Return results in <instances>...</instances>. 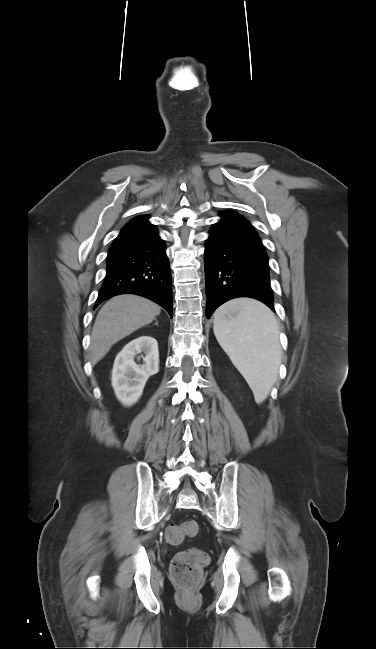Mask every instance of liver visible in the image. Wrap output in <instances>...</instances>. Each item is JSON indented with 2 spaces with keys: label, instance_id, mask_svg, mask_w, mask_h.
Returning <instances> with one entry per match:
<instances>
[{
  "label": "liver",
  "instance_id": "1",
  "mask_svg": "<svg viewBox=\"0 0 376 649\" xmlns=\"http://www.w3.org/2000/svg\"><path fill=\"white\" fill-rule=\"evenodd\" d=\"M160 312L157 304L137 295H118L107 301L92 329V364L99 362L115 343L151 323Z\"/></svg>",
  "mask_w": 376,
  "mask_h": 649
}]
</instances>
